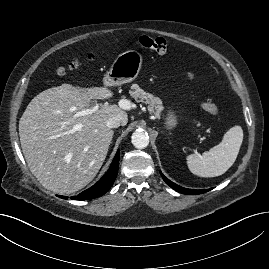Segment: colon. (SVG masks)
Returning a JSON list of instances; mask_svg holds the SVG:
<instances>
[{"label":"colon","instance_id":"5ec220e1","mask_svg":"<svg viewBox=\"0 0 269 269\" xmlns=\"http://www.w3.org/2000/svg\"><path fill=\"white\" fill-rule=\"evenodd\" d=\"M139 44L143 49L149 50L158 54H163L167 50V42L164 38H161V37L142 36L139 39ZM79 66H80V62L78 60H73L68 65V69L76 70ZM57 74L59 76H64L66 74V69L59 68L57 70ZM202 107L206 112H208L209 114L213 116L219 115L218 106L209 99L203 101Z\"/></svg>","mask_w":269,"mask_h":269}]
</instances>
